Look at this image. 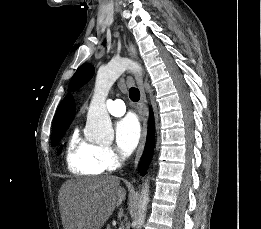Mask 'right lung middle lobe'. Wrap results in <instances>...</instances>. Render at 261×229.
I'll return each mask as SVG.
<instances>
[{
  "instance_id": "1",
  "label": "right lung middle lobe",
  "mask_w": 261,
  "mask_h": 229,
  "mask_svg": "<svg viewBox=\"0 0 261 229\" xmlns=\"http://www.w3.org/2000/svg\"><path fill=\"white\" fill-rule=\"evenodd\" d=\"M69 124L70 123L52 126V146L56 145L60 141L65 131L67 130ZM61 150H62V146L58 151V155L60 154Z\"/></svg>"
}]
</instances>
